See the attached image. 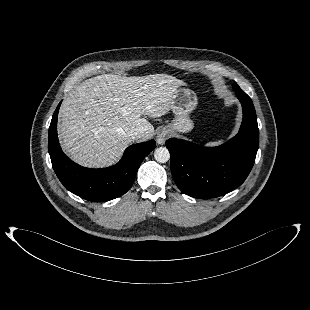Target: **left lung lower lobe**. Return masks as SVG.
I'll return each instance as SVG.
<instances>
[{"instance_id": "obj_1", "label": "left lung lower lobe", "mask_w": 310, "mask_h": 310, "mask_svg": "<svg viewBox=\"0 0 310 310\" xmlns=\"http://www.w3.org/2000/svg\"><path fill=\"white\" fill-rule=\"evenodd\" d=\"M236 96L243 108L238 134L217 147L168 139L171 172L179 189L199 199L222 196L240 186L250 173L259 146V129L251 98L240 88Z\"/></svg>"}]
</instances>
